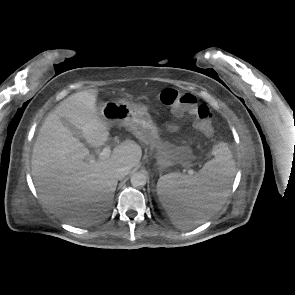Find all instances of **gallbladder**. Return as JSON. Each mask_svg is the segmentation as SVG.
Returning a JSON list of instances; mask_svg holds the SVG:
<instances>
[{"label": "gallbladder", "instance_id": "obj_1", "mask_svg": "<svg viewBox=\"0 0 295 295\" xmlns=\"http://www.w3.org/2000/svg\"><path fill=\"white\" fill-rule=\"evenodd\" d=\"M62 123H63V125L65 127H67L72 132L73 135H75L76 137H80L81 136L80 133L77 130H75L72 127V125L69 122H67L65 119H62Z\"/></svg>", "mask_w": 295, "mask_h": 295}]
</instances>
